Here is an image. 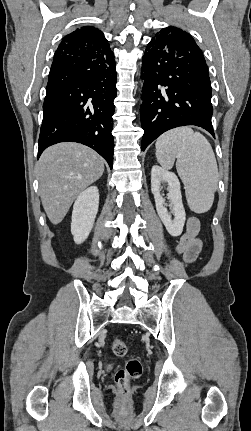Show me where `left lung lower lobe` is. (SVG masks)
Masks as SVG:
<instances>
[{"mask_svg":"<svg viewBox=\"0 0 251 431\" xmlns=\"http://www.w3.org/2000/svg\"><path fill=\"white\" fill-rule=\"evenodd\" d=\"M141 149L175 127L196 125L213 137L211 83L203 53L189 35L159 34L142 59Z\"/></svg>","mask_w":251,"mask_h":431,"instance_id":"obj_1","label":"left lung lower lobe"}]
</instances>
